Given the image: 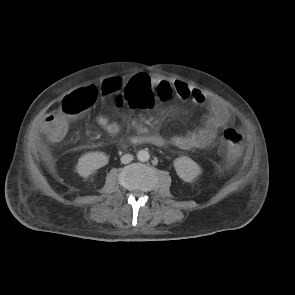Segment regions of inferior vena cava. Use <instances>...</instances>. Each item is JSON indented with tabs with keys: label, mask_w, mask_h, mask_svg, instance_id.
<instances>
[{
	"label": "inferior vena cava",
	"mask_w": 295,
	"mask_h": 295,
	"mask_svg": "<svg viewBox=\"0 0 295 295\" xmlns=\"http://www.w3.org/2000/svg\"><path fill=\"white\" fill-rule=\"evenodd\" d=\"M133 160V156L131 154H125L121 157V162L123 164H128Z\"/></svg>",
	"instance_id": "602c4592"
}]
</instances>
